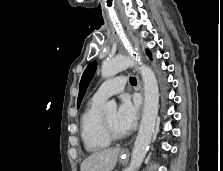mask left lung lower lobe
I'll return each mask as SVG.
<instances>
[{"label": "left lung lower lobe", "mask_w": 223, "mask_h": 171, "mask_svg": "<svg viewBox=\"0 0 223 171\" xmlns=\"http://www.w3.org/2000/svg\"><path fill=\"white\" fill-rule=\"evenodd\" d=\"M147 54H148V56H150V53L149 52H147Z\"/></svg>", "instance_id": "1"}]
</instances>
